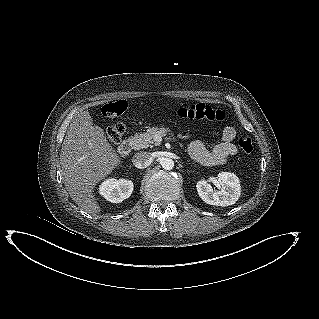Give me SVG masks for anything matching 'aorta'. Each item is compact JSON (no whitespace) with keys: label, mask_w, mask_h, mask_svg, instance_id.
<instances>
[{"label":"aorta","mask_w":319,"mask_h":319,"mask_svg":"<svg viewBox=\"0 0 319 319\" xmlns=\"http://www.w3.org/2000/svg\"><path fill=\"white\" fill-rule=\"evenodd\" d=\"M161 165L164 170H172L174 168V161L171 158H163Z\"/></svg>","instance_id":"aorta-1"}]
</instances>
